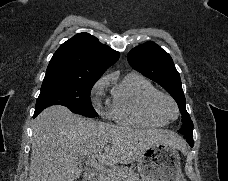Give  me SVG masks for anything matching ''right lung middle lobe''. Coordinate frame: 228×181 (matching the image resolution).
Here are the masks:
<instances>
[{"label":"right lung middle lobe","mask_w":228,"mask_h":181,"mask_svg":"<svg viewBox=\"0 0 228 181\" xmlns=\"http://www.w3.org/2000/svg\"><path fill=\"white\" fill-rule=\"evenodd\" d=\"M94 81H67L55 78H44L40 95L36 101L35 113L52 105H63L73 113L86 117H96L91 100L90 91Z\"/></svg>","instance_id":"1"}]
</instances>
